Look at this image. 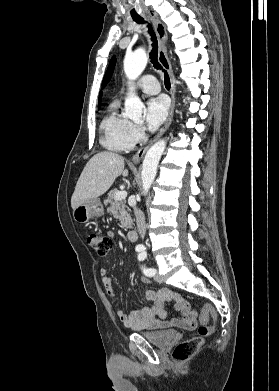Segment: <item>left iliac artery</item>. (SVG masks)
I'll use <instances>...</instances> for the list:
<instances>
[{
  "label": "left iliac artery",
  "instance_id": "44dca946",
  "mask_svg": "<svg viewBox=\"0 0 279 391\" xmlns=\"http://www.w3.org/2000/svg\"><path fill=\"white\" fill-rule=\"evenodd\" d=\"M139 255H138V260L139 261H144L147 257V253L144 251V250H140L139 251ZM143 273L146 275V276H149V277H152L155 275L156 273V270L154 268H148V267H141Z\"/></svg>",
  "mask_w": 279,
  "mask_h": 391
}]
</instances>
